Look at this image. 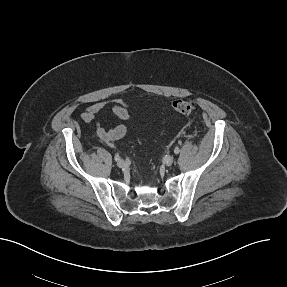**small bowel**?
<instances>
[{"label": "small bowel", "instance_id": "1", "mask_svg": "<svg viewBox=\"0 0 287 287\" xmlns=\"http://www.w3.org/2000/svg\"><path fill=\"white\" fill-rule=\"evenodd\" d=\"M104 109H108L122 120L130 118L128 106L122 99L101 100L91 104L80 114L82 121L90 123L96 120L97 115ZM129 128L125 124H119L112 128H104L98 122L96 123V135L100 142L116 147V142L128 134Z\"/></svg>", "mask_w": 287, "mask_h": 287}]
</instances>
